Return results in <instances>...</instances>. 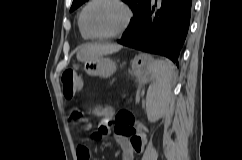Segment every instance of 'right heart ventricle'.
<instances>
[{
    "label": "right heart ventricle",
    "instance_id": "right-heart-ventricle-1",
    "mask_svg": "<svg viewBox=\"0 0 242 160\" xmlns=\"http://www.w3.org/2000/svg\"><path fill=\"white\" fill-rule=\"evenodd\" d=\"M79 31H80V34L82 36L83 39H89L90 37L83 31V29L81 28V25H80V22H79Z\"/></svg>",
    "mask_w": 242,
    "mask_h": 160
}]
</instances>
